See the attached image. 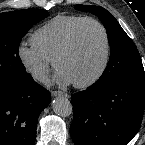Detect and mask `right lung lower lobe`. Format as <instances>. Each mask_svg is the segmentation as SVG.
Returning <instances> with one entry per match:
<instances>
[{"label": "right lung lower lobe", "mask_w": 145, "mask_h": 145, "mask_svg": "<svg viewBox=\"0 0 145 145\" xmlns=\"http://www.w3.org/2000/svg\"><path fill=\"white\" fill-rule=\"evenodd\" d=\"M50 93L30 74L20 82L0 84V145H33L37 119Z\"/></svg>", "instance_id": "obj_1"}]
</instances>
